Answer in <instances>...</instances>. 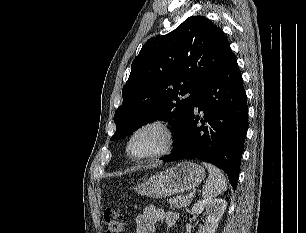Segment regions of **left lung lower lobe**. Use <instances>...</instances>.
I'll list each match as a JSON object with an SVG mask.
<instances>
[{"instance_id":"left-lung-lower-lobe-1","label":"left lung lower lobe","mask_w":306,"mask_h":233,"mask_svg":"<svg viewBox=\"0 0 306 233\" xmlns=\"http://www.w3.org/2000/svg\"><path fill=\"white\" fill-rule=\"evenodd\" d=\"M194 110L174 138V149L163 161L198 158L224 170L236 189L247 132L248 107L236 57L230 50L223 64L197 98ZM194 107V108H195Z\"/></svg>"}]
</instances>
